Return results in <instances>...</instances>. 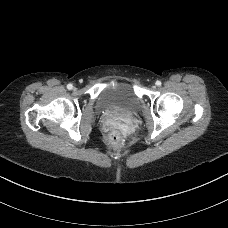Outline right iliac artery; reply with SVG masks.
<instances>
[{"mask_svg":"<svg viewBox=\"0 0 228 228\" xmlns=\"http://www.w3.org/2000/svg\"><path fill=\"white\" fill-rule=\"evenodd\" d=\"M67 88H68L69 90H71V89L73 88V85H72V84H68V85H67Z\"/></svg>","mask_w":228,"mask_h":228,"instance_id":"82829eb1","label":"right iliac artery"}]
</instances>
